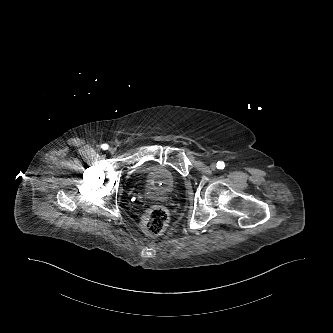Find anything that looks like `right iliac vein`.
<instances>
[{
    "label": "right iliac vein",
    "mask_w": 333,
    "mask_h": 333,
    "mask_svg": "<svg viewBox=\"0 0 333 333\" xmlns=\"http://www.w3.org/2000/svg\"><path fill=\"white\" fill-rule=\"evenodd\" d=\"M109 152H110L111 154H114V153L116 152V149H115L114 147H110V148H109Z\"/></svg>",
    "instance_id": "63e3f726"
}]
</instances>
